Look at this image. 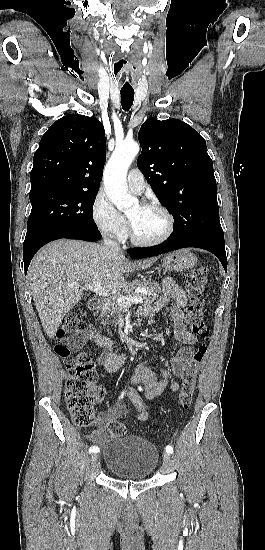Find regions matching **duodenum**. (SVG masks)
<instances>
[{
    "label": "duodenum",
    "instance_id": "1",
    "mask_svg": "<svg viewBox=\"0 0 265 550\" xmlns=\"http://www.w3.org/2000/svg\"><path fill=\"white\" fill-rule=\"evenodd\" d=\"M103 301L99 297H94L88 302V309L92 312L99 311L102 307Z\"/></svg>",
    "mask_w": 265,
    "mask_h": 550
}]
</instances>
